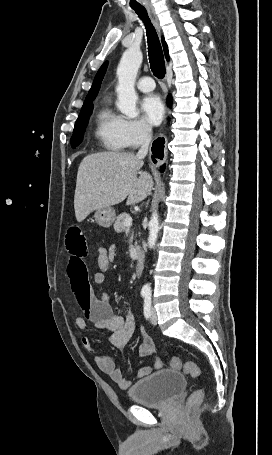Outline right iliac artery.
I'll return each instance as SVG.
<instances>
[{
	"instance_id": "obj_1",
	"label": "right iliac artery",
	"mask_w": 272,
	"mask_h": 455,
	"mask_svg": "<svg viewBox=\"0 0 272 455\" xmlns=\"http://www.w3.org/2000/svg\"><path fill=\"white\" fill-rule=\"evenodd\" d=\"M143 296H146L147 294L146 293H142Z\"/></svg>"
}]
</instances>
